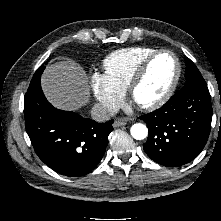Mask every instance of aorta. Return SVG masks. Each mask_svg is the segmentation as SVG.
<instances>
[{"label": "aorta", "mask_w": 221, "mask_h": 221, "mask_svg": "<svg viewBox=\"0 0 221 221\" xmlns=\"http://www.w3.org/2000/svg\"><path fill=\"white\" fill-rule=\"evenodd\" d=\"M132 137L136 140H143L148 135V128L141 123L133 124L130 128Z\"/></svg>", "instance_id": "762f6f07"}]
</instances>
